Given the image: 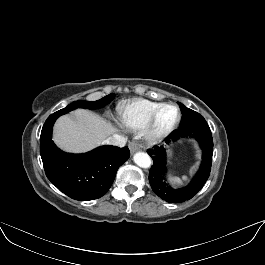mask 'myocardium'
Masks as SVG:
<instances>
[{"instance_id": "f54148a6", "label": "myocardium", "mask_w": 265, "mask_h": 265, "mask_svg": "<svg viewBox=\"0 0 265 265\" xmlns=\"http://www.w3.org/2000/svg\"><path fill=\"white\" fill-rule=\"evenodd\" d=\"M166 107H174L177 111V116L174 122L165 129L159 130L156 127V122L161 111ZM181 121V111L180 108L172 102L162 103L158 106L154 112L149 116L145 125L143 126V136L144 139L152 144L159 143L166 139L169 135L173 133V131L178 127Z\"/></svg>"}]
</instances>
